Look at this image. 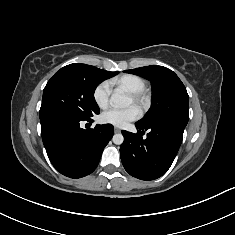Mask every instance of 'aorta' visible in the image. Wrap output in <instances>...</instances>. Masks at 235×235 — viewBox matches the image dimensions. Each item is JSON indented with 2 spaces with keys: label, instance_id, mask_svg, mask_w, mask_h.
I'll return each instance as SVG.
<instances>
[{
  "label": "aorta",
  "instance_id": "1",
  "mask_svg": "<svg viewBox=\"0 0 235 235\" xmlns=\"http://www.w3.org/2000/svg\"><path fill=\"white\" fill-rule=\"evenodd\" d=\"M130 103V98L121 89H116L111 95L110 104L114 107H127ZM112 141L116 145H121L124 137L121 133H118L113 136Z\"/></svg>",
  "mask_w": 235,
  "mask_h": 235
}]
</instances>
